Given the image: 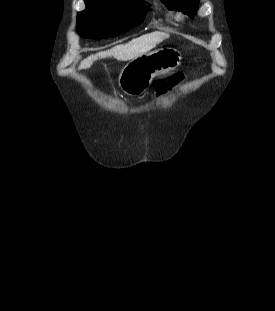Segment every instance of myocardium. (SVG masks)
<instances>
[{
	"label": "myocardium",
	"instance_id": "f54148a6",
	"mask_svg": "<svg viewBox=\"0 0 275 311\" xmlns=\"http://www.w3.org/2000/svg\"><path fill=\"white\" fill-rule=\"evenodd\" d=\"M177 18L180 20V19H182V16H181V15H178Z\"/></svg>",
	"mask_w": 275,
	"mask_h": 311
}]
</instances>
